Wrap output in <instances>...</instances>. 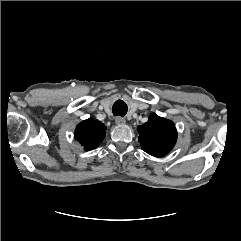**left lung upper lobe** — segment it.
Masks as SVG:
<instances>
[{
    "label": "left lung upper lobe",
    "instance_id": "obj_1",
    "mask_svg": "<svg viewBox=\"0 0 241 241\" xmlns=\"http://www.w3.org/2000/svg\"><path fill=\"white\" fill-rule=\"evenodd\" d=\"M139 142L142 149L155 157H163L174 147L177 140V131L172 121L159 117L155 113L149 116L148 121L138 126Z\"/></svg>",
    "mask_w": 241,
    "mask_h": 241
}]
</instances>
